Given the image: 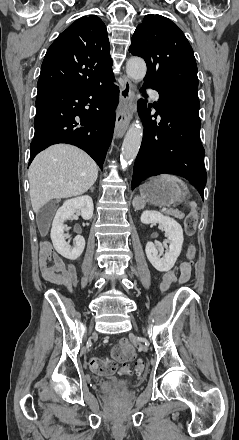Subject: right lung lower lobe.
<instances>
[{"instance_id":"right-lung-lower-lobe-1","label":"right lung lower lobe","mask_w":239,"mask_h":440,"mask_svg":"<svg viewBox=\"0 0 239 440\" xmlns=\"http://www.w3.org/2000/svg\"><path fill=\"white\" fill-rule=\"evenodd\" d=\"M113 80L112 74L85 86L38 91L29 164L45 148L68 143L86 151L102 169L119 96Z\"/></svg>"}]
</instances>
